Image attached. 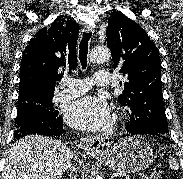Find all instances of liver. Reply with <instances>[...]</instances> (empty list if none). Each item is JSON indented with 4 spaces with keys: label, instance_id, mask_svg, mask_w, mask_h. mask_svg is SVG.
<instances>
[{
    "label": "liver",
    "instance_id": "liver-1",
    "mask_svg": "<svg viewBox=\"0 0 183 179\" xmlns=\"http://www.w3.org/2000/svg\"><path fill=\"white\" fill-rule=\"evenodd\" d=\"M71 159L70 149L60 141L28 135L10 148L1 179H61Z\"/></svg>",
    "mask_w": 183,
    "mask_h": 179
}]
</instances>
